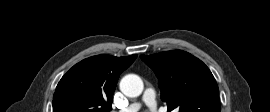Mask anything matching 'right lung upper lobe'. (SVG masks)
Listing matches in <instances>:
<instances>
[{
    "label": "right lung upper lobe",
    "mask_w": 270,
    "mask_h": 112,
    "mask_svg": "<svg viewBox=\"0 0 270 112\" xmlns=\"http://www.w3.org/2000/svg\"><path fill=\"white\" fill-rule=\"evenodd\" d=\"M137 55H97L74 65L59 81L53 112H108L119 75Z\"/></svg>",
    "instance_id": "right-lung-upper-lobe-1"
}]
</instances>
